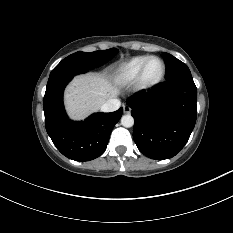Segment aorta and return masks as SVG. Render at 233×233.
Wrapping results in <instances>:
<instances>
[{
  "mask_svg": "<svg viewBox=\"0 0 233 233\" xmlns=\"http://www.w3.org/2000/svg\"><path fill=\"white\" fill-rule=\"evenodd\" d=\"M121 124L124 127H132L134 124V119L131 115L127 114L121 117Z\"/></svg>",
  "mask_w": 233,
  "mask_h": 233,
  "instance_id": "762f6f07",
  "label": "aorta"
}]
</instances>
